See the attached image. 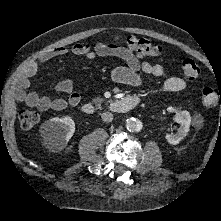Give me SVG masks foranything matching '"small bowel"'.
Returning a JSON list of instances; mask_svg holds the SVG:
<instances>
[{
    "mask_svg": "<svg viewBox=\"0 0 221 221\" xmlns=\"http://www.w3.org/2000/svg\"><path fill=\"white\" fill-rule=\"evenodd\" d=\"M72 54L76 57L91 60L96 56H117L126 62V66L116 67L112 71L113 81L128 85L138 86L142 82L140 73L161 77L164 74V67L161 64H152L141 61L133 53L125 49L115 48L111 44L102 42L94 45L88 43H76L70 47L61 46L43 53L38 59L31 61L19 74L16 80V94L20 101L28 106L37 108L40 111L64 110L67 106L75 107L81 101V96L74 90V85L70 79L59 80L54 88L58 92L67 93L68 97L51 98L42 96L36 92L28 91L31 78L35 75L39 67L55 58ZM187 87L186 82L177 76L169 77L165 80L163 88L167 92H180Z\"/></svg>",
    "mask_w": 221,
    "mask_h": 221,
    "instance_id": "small-bowel-1",
    "label": "small bowel"
}]
</instances>
